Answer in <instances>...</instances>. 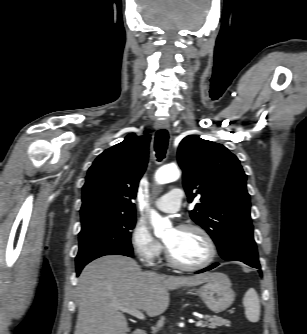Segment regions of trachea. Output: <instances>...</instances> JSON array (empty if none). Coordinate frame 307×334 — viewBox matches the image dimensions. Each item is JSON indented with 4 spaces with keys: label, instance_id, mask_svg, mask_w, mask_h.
Listing matches in <instances>:
<instances>
[{
    "label": "trachea",
    "instance_id": "3493384b",
    "mask_svg": "<svg viewBox=\"0 0 307 334\" xmlns=\"http://www.w3.org/2000/svg\"><path fill=\"white\" fill-rule=\"evenodd\" d=\"M168 139H169V135H168L167 130L162 129V130L157 131L155 135L154 147H155L156 157L158 161H161L165 157L167 146H168Z\"/></svg>",
    "mask_w": 307,
    "mask_h": 334
}]
</instances>
